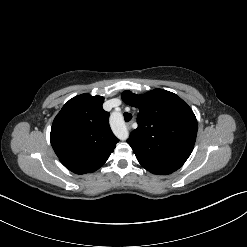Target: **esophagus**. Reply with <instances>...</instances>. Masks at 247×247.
Returning a JSON list of instances; mask_svg holds the SVG:
<instances>
[{
    "instance_id": "esophagus-1",
    "label": "esophagus",
    "mask_w": 247,
    "mask_h": 247,
    "mask_svg": "<svg viewBox=\"0 0 247 247\" xmlns=\"http://www.w3.org/2000/svg\"><path fill=\"white\" fill-rule=\"evenodd\" d=\"M130 124H131V123H127V124H126L127 128H130Z\"/></svg>"
}]
</instances>
